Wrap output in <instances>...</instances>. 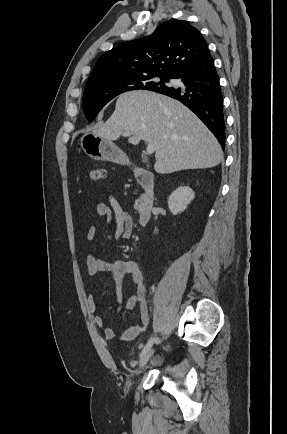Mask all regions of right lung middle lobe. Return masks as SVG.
<instances>
[{
  "instance_id": "dd1d6c3e",
  "label": "right lung middle lobe",
  "mask_w": 287,
  "mask_h": 434,
  "mask_svg": "<svg viewBox=\"0 0 287 434\" xmlns=\"http://www.w3.org/2000/svg\"><path fill=\"white\" fill-rule=\"evenodd\" d=\"M160 79V81L158 80ZM173 77L159 74L132 78H115L93 81L86 84L83 95V110L88 121H92L99 111L117 95L131 90H165V82Z\"/></svg>"
}]
</instances>
